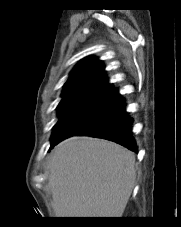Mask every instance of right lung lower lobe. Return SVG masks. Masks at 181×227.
Wrapping results in <instances>:
<instances>
[{"instance_id": "1", "label": "right lung lower lobe", "mask_w": 181, "mask_h": 227, "mask_svg": "<svg viewBox=\"0 0 181 227\" xmlns=\"http://www.w3.org/2000/svg\"><path fill=\"white\" fill-rule=\"evenodd\" d=\"M131 124L132 119L126 112L124 99L115 89L105 105L70 126L57 141L51 143V148L70 136L88 135L114 141L136 152Z\"/></svg>"}]
</instances>
